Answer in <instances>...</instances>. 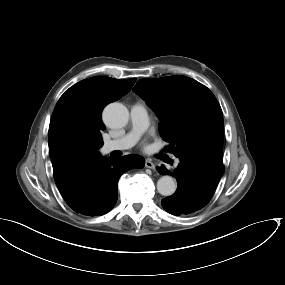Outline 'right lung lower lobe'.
Returning <instances> with one entry per match:
<instances>
[{
  "label": "right lung lower lobe",
  "instance_id": "right-lung-lower-lobe-1",
  "mask_svg": "<svg viewBox=\"0 0 285 285\" xmlns=\"http://www.w3.org/2000/svg\"><path fill=\"white\" fill-rule=\"evenodd\" d=\"M144 165L145 160L136 155H126L117 160L100 156L57 187L65 202L76 213L101 216L108 213L117 201V184L121 175Z\"/></svg>",
  "mask_w": 285,
  "mask_h": 285
}]
</instances>
